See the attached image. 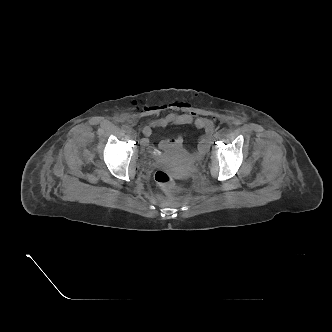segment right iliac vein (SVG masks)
<instances>
[{"label":"right iliac vein","mask_w":332,"mask_h":332,"mask_svg":"<svg viewBox=\"0 0 332 332\" xmlns=\"http://www.w3.org/2000/svg\"><path fill=\"white\" fill-rule=\"evenodd\" d=\"M129 133L132 134V135H135V131L134 130H129Z\"/></svg>","instance_id":"right-iliac-vein-1"}]
</instances>
